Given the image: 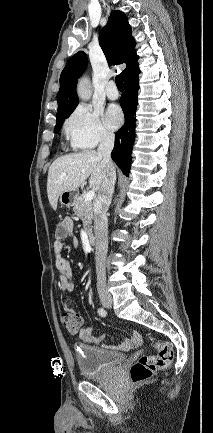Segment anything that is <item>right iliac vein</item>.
<instances>
[{
    "instance_id": "obj_1",
    "label": "right iliac vein",
    "mask_w": 213,
    "mask_h": 433,
    "mask_svg": "<svg viewBox=\"0 0 213 433\" xmlns=\"http://www.w3.org/2000/svg\"><path fill=\"white\" fill-rule=\"evenodd\" d=\"M100 301L103 304V306H105L107 308L111 307L112 302H113L111 295L108 293H101L100 294Z\"/></svg>"
}]
</instances>
